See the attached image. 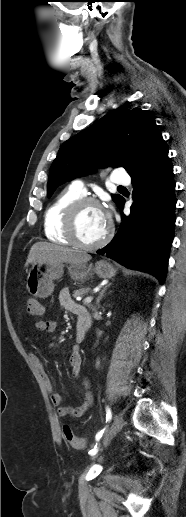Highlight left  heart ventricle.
Masks as SVG:
<instances>
[{"label":"left heart ventricle","instance_id":"b2bd125f","mask_svg":"<svg viewBox=\"0 0 186 517\" xmlns=\"http://www.w3.org/2000/svg\"><path fill=\"white\" fill-rule=\"evenodd\" d=\"M108 226L102 209L94 205L82 209L77 223L79 237L86 243H93L102 238Z\"/></svg>","mask_w":186,"mask_h":517}]
</instances>
